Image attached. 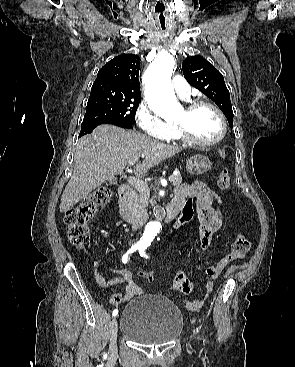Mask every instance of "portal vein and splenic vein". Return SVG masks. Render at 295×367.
<instances>
[{"instance_id": "18ae733b", "label": "portal vein and splenic vein", "mask_w": 295, "mask_h": 367, "mask_svg": "<svg viewBox=\"0 0 295 367\" xmlns=\"http://www.w3.org/2000/svg\"><path fill=\"white\" fill-rule=\"evenodd\" d=\"M134 162H131V164H133ZM173 180V176H169V181ZM128 183L131 184L132 186L135 187H140V188H145V184L143 181L135 178V177H129L128 178Z\"/></svg>"}]
</instances>
